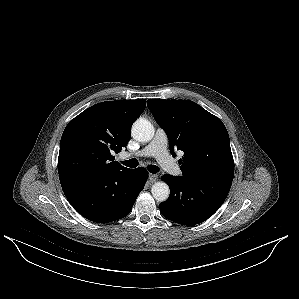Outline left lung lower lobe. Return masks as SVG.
Masks as SVG:
<instances>
[{"label":"left lung lower lobe","instance_id":"0a47b994","mask_svg":"<svg viewBox=\"0 0 299 299\" xmlns=\"http://www.w3.org/2000/svg\"><path fill=\"white\" fill-rule=\"evenodd\" d=\"M170 197L160 204L162 215L182 225L199 224L222 205L232 181L210 177H183L165 174Z\"/></svg>","mask_w":299,"mask_h":299}]
</instances>
